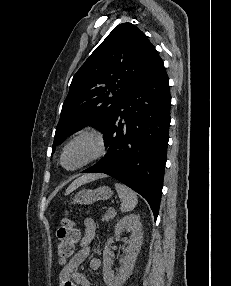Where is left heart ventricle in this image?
<instances>
[{
	"label": "left heart ventricle",
	"mask_w": 231,
	"mask_h": 286,
	"mask_svg": "<svg viewBox=\"0 0 231 286\" xmlns=\"http://www.w3.org/2000/svg\"><path fill=\"white\" fill-rule=\"evenodd\" d=\"M95 152V143L83 139L72 144L65 152L63 163L67 168H73L84 162Z\"/></svg>",
	"instance_id": "left-heart-ventricle-1"
}]
</instances>
